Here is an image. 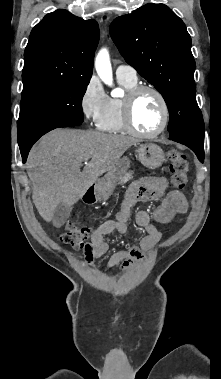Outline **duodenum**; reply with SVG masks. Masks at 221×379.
I'll use <instances>...</instances> for the list:
<instances>
[{
  "instance_id": "410a0bca",
  "label": "duodenum",
  "mask_w": 221,
  "mask_h": 379,
  "mask_svg": "<svg viewBox=\"0 0 221 379\" xmlns=\"http://www.w3.org/2000/svg\"><path fill=\"white\" fill-rule=\"evenodd\" d=\"M86 196L87 197H90V198H94V187L93 186H91L90 188H89V190L87 191V193H86Z\"/></svg>"
}]
</instances>
